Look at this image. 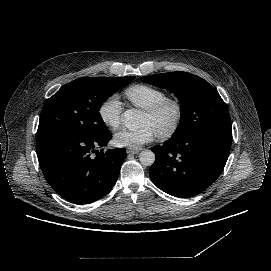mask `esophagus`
<instances>
[{"instance_id": "1", "label": "esophagus", "mask_w": 271, "mask_h": 271, "mask_svg": "<svg viewBox=\"0 0 271 271\" xmlns=\"http://www.w3.org/2000/svg\"><path fill=\"white\" fill-rule=\"evenodd\" d=\"M140 151H141L140 148H136V149L128 148V149H126V152H127L128 154H137V153H139Z\"/></svg>"}]
</instances>
